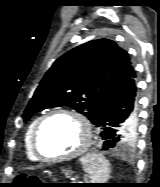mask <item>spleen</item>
I'll return each mask as SVG.
<instances>
[{
    "instance_id": "spleen-1",
    "label": "spleen",
    "mask_w": 160,
    "mask_h": 187,
    "mask_svg": "<svg viewBox=\"0 0 160 187\" xmlns=\"http://www.w3.org/2000/svg\"><path fill=\"white\" fill-rule=\"evenodd\" d=\"M84 171L93 183H106L110 175L108 160L99 154H87L80 158Z\"/></svg>"
}]
</instances>
